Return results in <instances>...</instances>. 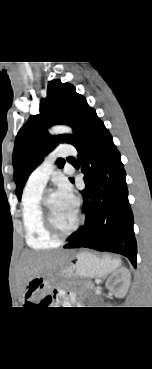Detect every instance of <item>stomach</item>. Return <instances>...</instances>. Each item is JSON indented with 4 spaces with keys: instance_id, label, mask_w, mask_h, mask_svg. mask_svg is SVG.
<instances>
[{
    "instance_id": "stomach-1",
    "label": "stomach",
    "mask_w": 152,
    "mask_h": 369,
    "mask_svg": "<svg viewBox=\"0 0 152 369\" xmlns=\"http://www.w3.org/2000/svg\"><path fill=\"white\" fill-rule=\"evenodd\" d=\"M74 261L75 263L69 265L64 273L71 276L75 272V275L82 278L104 277L120 265L117 259L109 256L100 258L88 252L77 254ZM50 289L49 281L44 276H39L26 283L23 293L25 298L32 299L44 295Z\"/></svg>"
}]
</instances>
